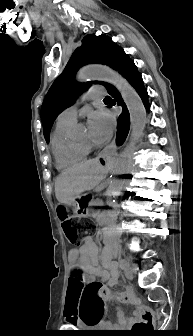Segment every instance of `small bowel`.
I'll return each instance as SVG.
<instances>
[{"instance_id":"1","label":"small bowel","mask_w":193,"mask_h":336,"mask_svg":"<svg viewBox=\"0 0 193 336\" xmlns=\"http://www.w3.org/2000/svg\"><path fill=\"white\" fill-rule=\"evenodd\" d=\"M116 254V249L111 245L107 246L101 253H99L96 241L92 236L86 237L79 248H74L69 252L68 259L71 275L67 291V306L64 313L65 318L70 323L78 319L77 307L80 299L78 284L79 277L75 275V270L80 269L88 277H97L100 281L106 282L110 287L115 286L119 281L118 267L113 260ZM106 297L126 302L133 299L130 289L117 294L111 293L107 289ZM115 315L119 323L132 319L127 318L121 309H117ZM101 323L106 324L104 321Z\"/></svg>"}]
</instances>
